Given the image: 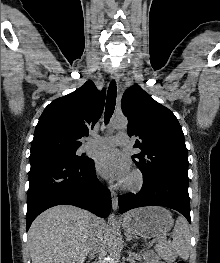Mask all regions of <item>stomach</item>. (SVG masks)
I'll list each match as a JSON object with an SVG mask.
<instances>
[{"label": "stomach", "mask_w": 220, "mask_h": 263, "mask_svg": "<svg viewBox=\"0 0 220 263\" xmlns=\"http://www.w3.org/2000/svg\"><path fill=\"white\" fill-rule=\"evenodd\" d=\"M122 226L130 234L154 238L165 234L173 226L168 210L158 206L134 209L123 217Z\"/></svg>", "instance_id": "0dacf381"}]
</instances>
